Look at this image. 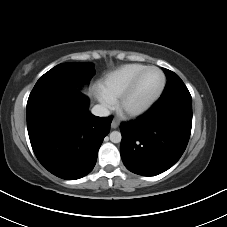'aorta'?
Wrapping results in <instances>:
<instances>
[{
    "label": "aorta",
    "mask_w": 227,
    "mask_h": 227,
    "mask_svg": "<svg viewBox=\"0 0 227 227\" xmlns=\"http://www.w3.org/2000/svg\"><path fill=\"white\" fill-rule=\"evenodd\" d=\"M122 136L119 131H113L110 133V141L113 143L121 142Z\"/></svg>",
    "instance_id": "aorta-1"
}]
</instances>
